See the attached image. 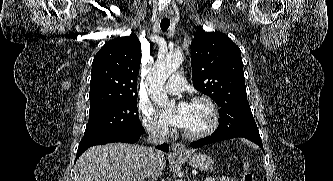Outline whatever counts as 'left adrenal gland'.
I'll list each match as a JSON object with an SVG mask.
<instances>
[{
    "instance_id": "left-adrenal-gland-1",
    "label": "left adrenal gland",
    "mask_w": 333,
    "mask_h": 181,
    "mask_svg": "<svg viewBox=\"0 0 333 181\" xmlns=\"http://www.w3.org/2000/svg\"><path fill=\"white\" fill-rule=\"evenodd\" d=\"M193 180H194V181H200V180H198V178H196V177H193Z\"/></svg>"
}]
</instances>
